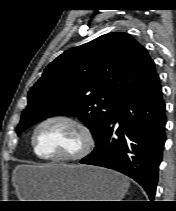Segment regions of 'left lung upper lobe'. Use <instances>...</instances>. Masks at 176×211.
<instances>
[{
  "label": "left lung upper lobe",
  "mask_w": 176,
  "mask_h": 211,
  "mask_svg": "<svg viewBox=\"0 0 176 211\" xmlns=\"http://www.w3.org/2000/svg\"><path fill=\"white\" fill-rule=\"evenodd\" d=\"M159 79L146 49L127 33L102 35L58 56L28 93L17 134L55 115L76 116L102 136L116 107Z\"/></svg>",
  "instance_id": "1"
}]
</instances>
